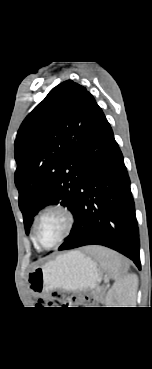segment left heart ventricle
<instances>
[{"label": "left heart ventricle", "mask_w": 152, "mask_h": 369, "mask_svg": "<svg viewBox=\"0 0 152 369\" xmlns=\"http://www.w3.org/2000/svg\"><path fill=\"white\" fill-rule=\"evenodd\" d=\"M65 227L64 217L57 212L45 215L39 226L38 238L42 245L50 246L62 235Z\"/></svg>", "instance_id": "left-heart-ventricle-1"}]
</instances>
